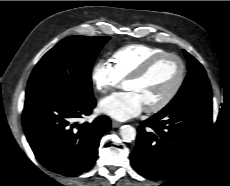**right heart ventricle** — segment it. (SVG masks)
<instances>
[{
    "instance_id": "obj_1",
    "label": "right heart ventricle",
    "mask_w": 230,
    "mask_h": 186,
    "mask_svg": "<svg viewBox=\"0 0 230 186\" xmlns=\"http://www.w3.org/2000/svg\"><path fill=\"white\" fill-rule=\"evenodd\" d=\"M165 50L146 45L130 44L115 50L111 55V64L120 80L127 79L147 60Z\"/></svg>"
}]
</instances>
